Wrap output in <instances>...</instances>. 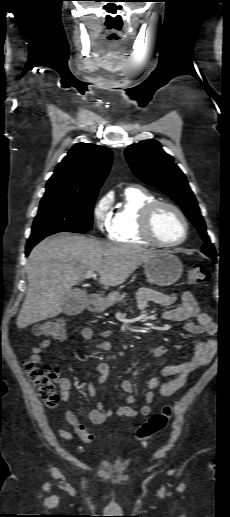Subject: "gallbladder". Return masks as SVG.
<instances>
[{"label":"gallbladder","mask_w":230,"mask_h":517,"mask_svg":"<svg viewBox=\"0 0 230 517\" xmlns=\"http://www.w3.org/2000/svg\"><path fill=\"white\" fill-rule=\"evenodd\" d=\"M87 304V293L82 290H72L64 296L62 311L66 315L81 313Z\"/></svg>","instance_id":"1"}]
</instances>
